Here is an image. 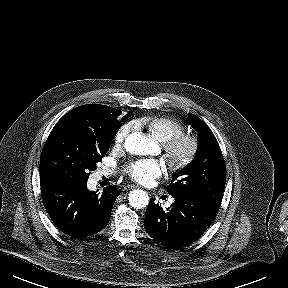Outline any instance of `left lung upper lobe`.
<instances>
[{"label": "left lung upper lobe", "mask_w": 288, "mask_h": 288, "mask_svg": "<svg viewBox=\"0 0 288 288\" xmlns=\"http://www.w3.org/2000/svg\"><path fill=\"white\" fill-rule=\"evenodd\" d=\"M188 124L198 131V151L167 186L173 197L195 198L219 207L226 181V167L220 146L210 128L189 113Z\"/></svg>", "instance_id": "obj_1"}]
</instances>
